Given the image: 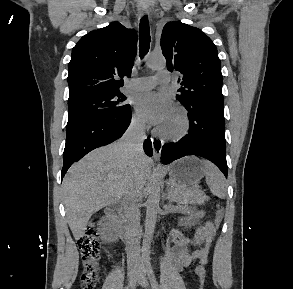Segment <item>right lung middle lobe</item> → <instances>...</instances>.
<instances>
[{"mask_svg":"<svg viewBox=\"0 0 293 289\" xmlns=\"http://www.w3.org/2000/svg\"><path fill=\"white\" fill-rule=\"evenodd\" d=\"M120 92L89 95L68 101L69 118L66 130L83 122L120 113L130 108Z\"/></svg>","mask_w":293,"mask_h":289,"instance_id":"dd1d6c3e","label":"right lung middle lobe"}]
</instances>
